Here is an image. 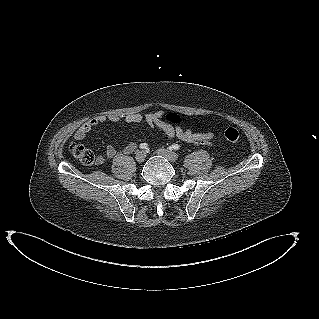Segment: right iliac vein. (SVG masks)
I'll return each mask as SVG.
<instances>
[{"mask_svg":"<svg viewBox=\"0 0 319 319\" xmlns=\"http://www.w3.org/2000/svg\"><path fill=\"white\" fill-rule=\"evenodd\" d=\"M146 158V153L144 151H138L136 153L135 159L137 162L141 163L145 160Z\"/></svg>","mask_w":319,"mask_h":319,"instance_id":"1","label":"right iliac vein"}]
</instances>
